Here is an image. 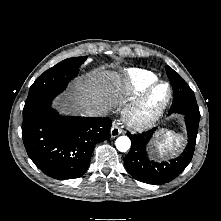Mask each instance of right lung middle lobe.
<instances>
[{"mask_svg": "<svg viewBox=\"0 0 221 221\" xmlns=\"http://www.w3.org/2000/svg\"><path fill=\"white\" fill-rule=\"evenodd\" d=\"M86 59L85 56L65 59L35 80L25 102L23 119L51 103L67 87L69 81L77 76L80 64Z\"/></svg>", "mask_w": 221, "mask_h": 221, "instance_id": "obj_1", "label": "right lung middle lobe"}]
</instances>
